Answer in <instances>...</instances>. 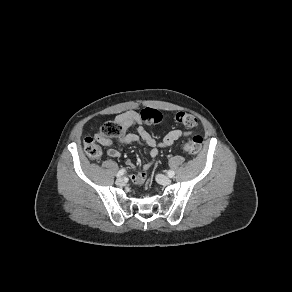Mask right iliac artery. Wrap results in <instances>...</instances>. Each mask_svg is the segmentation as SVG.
Instances as JSON below:
<instances>
[{
  "instance_id": "obj_1",
  "label": "right iliac artery",
  "mask_w": 292,
  "mask_h": 292,
  "mask_svg": "<svg viewBox=\"0 0 292 292\" xmlns=\"http://www.w3.org/2000/svg\"><path fill=\"white\" fill-rule=\"evenodd\" d=\"M125 173V169H121L118 171V173L116 174L117 178H120L121 176H123Z\"/></svg>"
}]
</instances>
